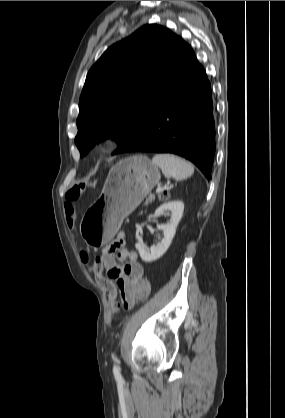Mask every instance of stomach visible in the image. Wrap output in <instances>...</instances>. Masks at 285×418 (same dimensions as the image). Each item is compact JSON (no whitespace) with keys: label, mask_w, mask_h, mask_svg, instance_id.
<instances>
[{"label":"stomach","mask_w":285,"mask_h":418,"mask_svg":"<svg viewBox=\"0 0 285 418\" xmlns=\"http://www.w3.org/2000/svg\"><path fill=\"white\" fill-rule=\"evenodd\" d=\"M160 171L144 155H133L115 164L102 194L80 223V233L93 246L107 244L148 193L159 183Z\"/></svg>","instance_id":"0dacf381"}]
</instances>
